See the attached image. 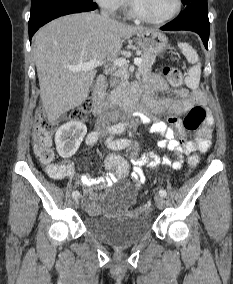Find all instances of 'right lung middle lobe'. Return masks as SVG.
I'll list each match as a JSON object with an SVG mask.
<instances>
[{
	"instance_id": "1",
	"label": "right lung middle lobe",
	"mask_w": 233,
	"mask_h": 284,
	"mask_svg": "<svg viewBox=\"0 0 233 284\" xmlns=\"http://www.w3.org/2000/svg\"><path fill=\"white\" fill-rule=\"evenodd\" d=\"M79 2H93V0H32L31 11L43 6L56 3H79Z\"/></svg>"
}]
</instances>
